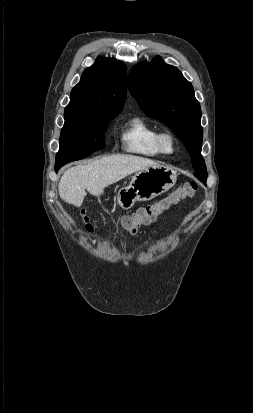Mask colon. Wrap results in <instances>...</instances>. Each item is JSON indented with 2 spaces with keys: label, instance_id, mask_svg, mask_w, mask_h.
Returning a JSON list of instances; mask_svg holds the SVG:
<instances>
[{
  "label": "colon",
  "instance_id": "1",
  "mask_svg": "<svg viewBox=\"0 0 253 413\" xmlns=\"http://www.w3.org/2000/svg\"><path fill=\"white\" fill-rule=\"evenodd\" d=\"M198 185L194 181H186L175 188L170 194L160 200L140 207L135 212L122 217V233L133 235L142 225L152 223L156 218L176 205L179 201L192 198L196 195ZM81 218L87 232L93 236L98 235V226L93 221L87 209L81 210Z\"/></svg>",
  "mask_w": 253,
  "mask_h": 413
}]
</instances>
